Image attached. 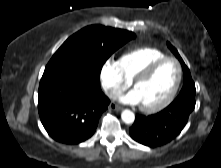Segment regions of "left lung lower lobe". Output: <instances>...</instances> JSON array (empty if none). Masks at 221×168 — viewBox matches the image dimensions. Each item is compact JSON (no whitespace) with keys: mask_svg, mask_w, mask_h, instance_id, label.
Segmentation results:
<instances>
[{"mask_svg":"<svg viewBox=\"0 0 221 168\" xmlns=\"http://www.w3.org/2000/svg\"><path fill=\"white\" fill-rule=\"evenodd\" d=\"M194 108L195 91H181L161 112L150 116L136 115L130 135L149 147L167 144L180 134Z\"/></svg>","mask_w":221,"mask_h":168,"instance_id":"1","label":"left lung lower lobe"}]
</instances>
